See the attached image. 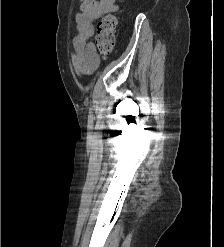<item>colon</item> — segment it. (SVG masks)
I'll return each mask as SVG.
<instances>
[{
	"label": "colon",
	"instance_id": "5ec220e1",
	"mask_svg": "<svg viewBox=\"0 0 224 247\" xmlns=\"http://www.w3.org/2000/svg\"><path fill=\"white\" fill-rule=\"evenodd\" d=\"M117 17L114 14L105 15L97 25L96 46L102 56L108 55L114 48Z\"/></svg>",
	"mask_w": 224,
	"mask_h": 247
}]
</instances>
